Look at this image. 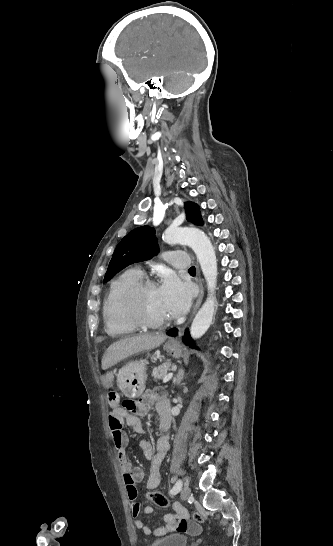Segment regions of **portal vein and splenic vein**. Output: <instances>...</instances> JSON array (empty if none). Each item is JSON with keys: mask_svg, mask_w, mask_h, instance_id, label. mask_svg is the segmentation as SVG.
Here are the masks:
<instances>
[{"mask_svg": "<svg viewBox=\"0 0 333 546\" xmlns=\"http://www.w3.org/2000/svg\"><path fill=\"white\" fill-rule=\"evenodd\" d=\"M173 377V372H170L163 378V383L168 382Z\"/></svg>", "mask_w": 333, "mask_h": 546, "instance_id": "1", "label": "portal vein and splenic vein"}]
</instances>
